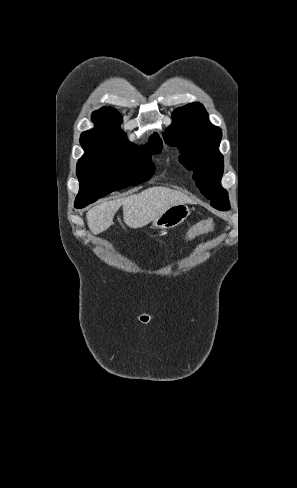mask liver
I'll return each mask as SVG.
<instances>
[{
  "instance_id": "liver-1",
  "label": "liver",
  "mask_w": 297,
  "mask_h": 488,
  "mask_svg": "<svg viewBox=\"0 0 297 488\" xmlns=\"http://www.w3.org/2000/svg\"><path fill=\"white\" fill-rule=\"evenodd\" d=\"M189 202L192 200L184 193L158 186L98 204L88 210L86 219L91 232L99 234L113 224L115 213L123 206L124 222L136 229L152 222L171 206Z\"/></svg>"
}]
</instances>
